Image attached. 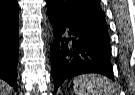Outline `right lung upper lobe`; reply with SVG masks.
Wrapping results in <instances>:
<instances>
[{"label": "right lung upper lobe", "mask_w": 135, "mask_h": 95, "mask_svg": "<svg viewBox=\"0 0 135 95\" xmlns=\"http://www.w3.org/2000/svg\"><path fill=\"white\" fill-rule=\"evenodd\" d=\"M18 16V3L16 0H0V18H13Z\"/></svg>", "instance_id": "cb5924a9"}]
</instances>
